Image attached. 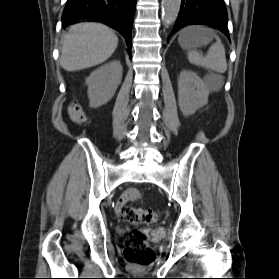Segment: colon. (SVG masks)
<instances>
[{
	"mask_svg": "<svg viewBox=\"0 0 279 279\" xmlns=\"http://www.w3.org/2000/svg\"><path fill=\"white\" fill-rule=\"evenodd\" d=\"M68 113L76 124H86L89 121L88 116L83 111L77 101H72L68 106ZM121 218L130 224H151L156 222L158 215L151 209L137 208L134 206H123L120 210ZM149 238L146 233L134 230L125 235L124 256L137 265H148L153 262L155 254L148 244Z\"/></svg>",
	"mask_w": 279,
	"mask_h": 279,
	"instance_id": "obj_1",
	"label": "colon"
}]
</instances>
